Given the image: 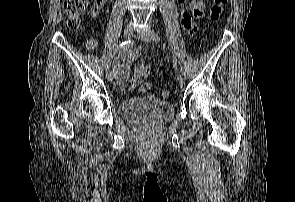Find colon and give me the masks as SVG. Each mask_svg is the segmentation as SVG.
<instances>
[{
  "label": "colon",
  "instance_id": "colon-1",
  "mask_svg": "<svg viewBox=\"0 0 295 202\" xmlns=\"http://www.w3.org/2000/svg\"><path fill=\"white\" fill-rule=\"evenodd\" d=\"M227 0H214L210 7V19L212 21H218L222 15L223 8ZM87 0H65L63 4L64 13L67 16L68 27L75 31L79 29L83 12L86 8ZM150 74V66L142 62L138 64L136 68V75ZM142 92L152 90V85L144 83L140 86ZM170 92L168 90H162L161 96L163 98L169 97Z\"/></svg>",
  "mask_w": 295,
  "mask_h": 202
}]
</instances>
